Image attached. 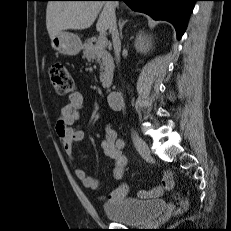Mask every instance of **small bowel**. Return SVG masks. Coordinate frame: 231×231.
Here are the masks:
<instances>
[{
    "label": "small bowel",
    "instance_id": "1",
    "mask_svg": "<svg viewBox=\"0 0 231 231\" xmlns=\"http://www.w3.org/2000/svg\"><path fill=\"white\" fill-rule=\"evenodd\" d=\"M84 106V97L81 93H73L68 102L63 105L55 120L54 130L62 145V148L71 160H75L74 144L84 138V130L75 124L81 119ZM121 139L118 138L116 131L111 124L105 126V136L101 140L100 145L104 154L112 159L115 163L113 176L115 179H121L126 165V157L120 148ZM76 177L82 184L92 190L99 189V181L95 177L89 175L84 169L75 170ZM175 185L172 172L166 171L161 184L148 191H141L140 197L152 198L160 197L166 191L171 190ZM128 193V187L125 184H119L107 196L106 200L110 203L120 202L125 199Z\"/></svg>",
    "mask_w": 231,
    "mask_h": 231
}]
</instances>
